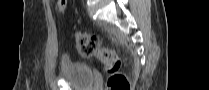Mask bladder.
I'll use <instances>...</instances> for the list:
<instances>
[{"label": "bladder", "mask_w": 209, "mask_h": 90, "mask_svg": "<svg viewBox=\"0 0 209 90\" xmlns=\"http://www.w3.org/2000/svg\"><path fill=\"white\" fill-rule=\"evenodd\" d=\"M59 76L71 86L82 90H89L94 86L90 67L81 62H74L68 56L59 59Z\"/></svg>", "instance_id": "31cf9c89"}]
</instances>
